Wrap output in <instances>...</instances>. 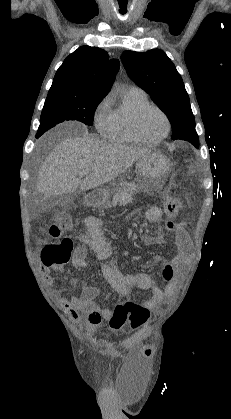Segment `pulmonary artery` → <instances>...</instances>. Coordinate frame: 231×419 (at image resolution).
Here are the masks:
<instances>
[{
    "mask_svg": "<svg viewBox=\"0 0 231 419\" xmlns=\"http://www.w3.org/2000/svg\"><path fill=\"white\" fill-rule=\"evenodd\" d=\"M131 89L142 90V89H140V88H138V87H132ZM142 91H143V90H142Z\"/></svg>",
    "mask_w": 231,
    "mask_h": 419,
    "instance_id": "obj_1",
    "label": "pulmonary artery"
}]
</instances>
